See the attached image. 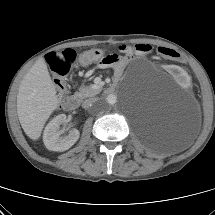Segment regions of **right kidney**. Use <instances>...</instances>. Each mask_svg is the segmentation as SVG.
Segmentation results:
<instances>
[{"label": "right kidney", "mask_w": 215, "mask_h": 215, "mask_svg": "<svg viewBox=\"0 0 215 215\" xmlns=\"http://www.w3.org/2000/svg\"><path fill=\"white\" fill-rule=\"evenodd\" d=\"M66 123V115L60 114L53 118L45 127L43 141L48 150L66 151L79 139L80 133L77 129L69 131L68 135L61 136L60 125Z\"/></svg>", "instance_id": "right-kidney-1"}]
</instances>
